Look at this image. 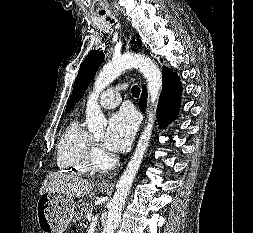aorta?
<instances>
[{
	"label": "aorta",
	"mask_w": 253,
	"mask_h": 233,
	"mask_svg": "<svg viewBox=\"0 0 253 233\" xmlns=\"http://www.w3.org/2000/svg\"><path fill=\"white\" fill-rule=\"evenodd\" d=\"M139 68L147 80L149 106L147 122L138 141L137 147L127 167L116 185V192L112 198L108 218L103 233H114L121 219L122 208L129 194L133 180L142 163L149 146L152 128L155 121L156 104L162 89V75L155 63L142 54H127L106 64L95 80L92 94L89 96L86 107V124L92 133L103 132L107 121L98 104L100 93L114 81L121 73L129 68Z\"/></svg>",
	"instance_id": "1"
}]
</instances>
